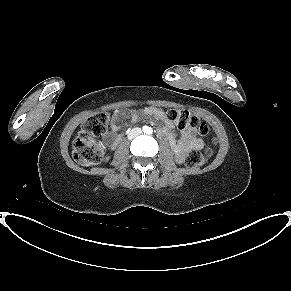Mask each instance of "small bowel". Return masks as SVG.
Segmentation results:
<instances>
[{
  "instance_id": "obj_1",
  "label": "small bowel",
  "mask_w": 291,
  "mask_h": 291,
  "mask_svg": "<svg viewBox=\"0 0 291 291\" xmlns=\"http://www.w3.org/2000/svg\"><path fill=\"white\" fill-rule=\"evenodd\" d=\"M129 116L132 121H137L142 117H152L163 123V125L158 129L161 136L165 137L171 144L177 157H181L183 153L190 149H199L202 147V141L196 137V131L186 128L182 129L179 139L176 138L174 133V125L167 119L164 111L157 107H147L142 110H134L127 112L125 110H117L114 112L111 118V131L106 134L105 142L111 148H115L122 139V134L119 131L123 128L124 124L120 123L121 117Z\"/></svg>"
}]
</instances>
